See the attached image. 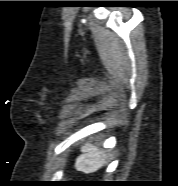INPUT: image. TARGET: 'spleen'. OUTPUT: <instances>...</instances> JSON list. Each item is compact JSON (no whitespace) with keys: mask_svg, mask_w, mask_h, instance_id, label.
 <instances>
[{"mask_svg":"<svg viewBox=\"0 0 178 186\" xmlns=\"http://www.w3.org/2000/svg\"><path fill=\"white\" fill-rule=\"evenodd\" d=\"M82 155L77 159L76 168L85 173L97 171L106 161V154L97 147L85 144L81 147Z\"/></svg>","mask_w":178,"mask_h":186,"instance_id":"spleen-1","label":"spleen"}]
</instances>
